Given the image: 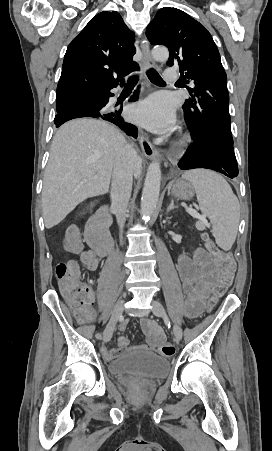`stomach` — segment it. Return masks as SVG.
<instances>
[{
	"instance_id": "obj_1",
	"label": "stomach",
	"mask_w": 272,
	"mask_h": 451,
	"mask_svg": "<svg viewBox=\"0 0 272 451\" xmlns=\"http://www.w3.org/2000/svg\"><path fill=\"white\" fill-rule=\"evenodd\" d=\"M194 194L195 190L190 182L178 180V182L173 184L172 196L178 198V200H190V198H193Z\"/></svg>"
}]
</instances>
